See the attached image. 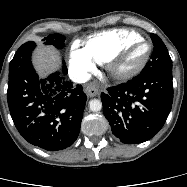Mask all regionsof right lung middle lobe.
I'll list each match as a JSON object with an SVG mask.
<instances>
[{
    "mask_svg": "<svg viewBox=\"0 0 187 187\" xmlns=\"http://www.w3.org/2000/svg\"><path fill=\"white\" fill-rule=\"evenodd\" d=\"M44 44L47 45H53L54 47L58 48V49H62L64 47V41H65V37L61 34H51L48 37H45L43 39Z\"/></svg>",
    "mask_w": 187,
    "mask_h": 187,
    "instance_id": "1",
    "label": "right lung middle lobe"
}]
</instances>
